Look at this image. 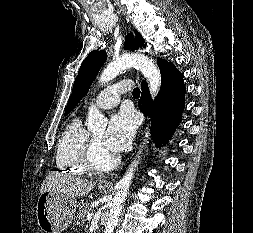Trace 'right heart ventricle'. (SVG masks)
<instances>
[{"label":"right heart ventricle","instance_id":"1","mask_svg":"<svg viewBox=\"0 0 253 233\" xmlns=\"http://www.w3.org/2000/svg\"><path fill=\"white\" fill-rule=\"evenodd\" d=\"M90 138L82 120H72L63 130L57 146L55 161L57 169L65 174L82 175L89 172L82 161L86 143Z\"/></svg>","mask_w":253,"mask_h":233}]
</instances>
